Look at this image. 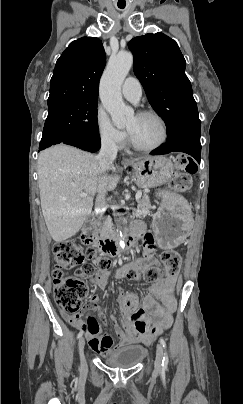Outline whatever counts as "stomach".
I'll return each mask as SVG.
<instances>
[{"instance_id": "stomach-1", "label": "stomach", "mask_w": 243, "mask_h": 404, "mask_svg": "<svg viewBox=\"0 0 243 404\" xmlns=\"http://www.w3.org/2000/svg\"><path fill=\"white\" fill-rule=\"evenodd\" d=\"M133 180L142 188H154L166 184L173 176L174 168L165 156L142 158L132 163ZM192 225V213L188 202L180 195L166 192L153 217V228L159 245L173 249L180 245Z\"/></svg>"}]
</instances>
